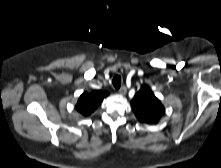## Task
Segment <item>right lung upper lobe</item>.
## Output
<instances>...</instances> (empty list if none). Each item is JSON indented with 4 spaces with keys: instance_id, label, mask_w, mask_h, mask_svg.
Returning a JSON list of instances; mask_svg holds the SVG:
<instances>
[{
    "instance_id": "right-lung-upper-lobe-1",
    "label": "right lung upper lobe",
    "mask_w": 221,
    "mask_h": 168,
    "mask_svg": "<svg viewBox=\"0 0 221 168\" xmlns=\"http://www.w3.org/2000/svg\"><path fill=\"white\" fill-rule=\"evenodd\" d=\"M108 95L107 91L101 90H95L91 93L84 92L76 104V109L85 116L90 115L99 106L103 98Z\"/></svg>"
}]
</instances>
